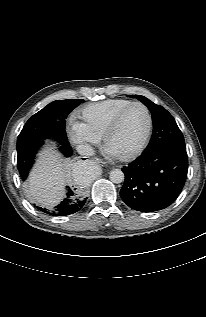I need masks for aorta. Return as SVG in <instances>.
I'll use <instances>...</instances> for the list:
<instances>
[{
  "mask_svg": "<svg viewBox=\"0 0 206 317\" xmlns=\"http://www.w3.org/2000/svg\"><path fill=\"white\" fill-rule=\"evenodd\" d=\"M98 167L93 162L84 163L77 171V176L81 181H88L96 177ZM124 173L120 169H113L110 172L109 178L113 183L119 184L124 181Z\"/></svg>",
  "mask_w": 206,
  "mask_h": 317,
  "instance_id": "762f6f07",
  "label": "aorta"
}]
</instances>
